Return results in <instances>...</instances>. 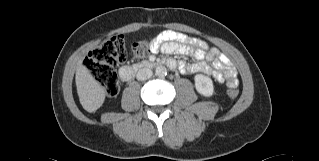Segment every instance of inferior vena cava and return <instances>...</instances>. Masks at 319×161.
Returning <instances> with one entry per match:
<instances>
[{
	"label": "inferior vena cava",
	"instance_id": "1",
	"mask_svg": "<svg viewBox=\"0 0 319 161\" xmlns=\"http://www.w3.org/2000/svg\"><path fill=\"white\" fill-rule=\"evenodd\" d=\"M153 75V72L149 68H142L137 72L136 79L138 81H144L149 79Z\"/></svg>",
	"mask_w": 319,
	"mask_h": 161
}]
</instances>
